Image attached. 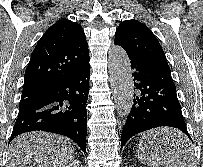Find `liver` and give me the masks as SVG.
Returning a JSON list of instances; mask_svg holds the SVG:
<instances>
[{"label":"liver","instance_id":"1","mask_svg":"<svg viewBox=\"0 0 203 167\" xmlns=\"http://www.w3.org/2000/svg\"><path fill=\"white\" fill-rule=\"evenodd\" d=\"M179 133L171 128H157L144 133L143 137L147 144L156 150L157 157L163 159L167 156V145L173 142ZM73 154L74 148L69 139L33 131L19 135L10 143L7 167H66ZM182 165H185V162L172 164Z\"/></svg>","mask_w":203,"mask_h":167}]
</instances>
